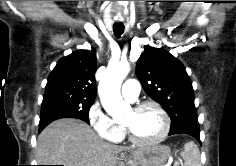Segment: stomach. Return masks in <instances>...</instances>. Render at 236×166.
<instances>
[{
    "label": "stomach",
    "mask_w": 236,
    "mask_h": 166,
    "mask_svg": "<svg viewBox=\"0 0 236 166\" xmlns=\"http://www.w3.org/2000/svg\"><path fill=\"white\" fill-rule=\"evenodd\" d=\"M170 152V148L166 145L145 147L141 149V155L135 166H165Z\"/></svg>",
    "instance_id": "obj_1"
}]
</instances>
